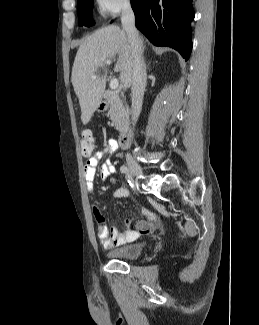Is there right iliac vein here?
I'll return each instance as SVG.
<instances>
[{"label":"right iliac vein","mask_w":259,"mask_h":325,"mask_svg":"<svg viewBox=\"0 0 259 325\" xmlns=\"http://www.w3.org/2000/svg\"><path fill=\"white\" fill-rule=\"evenodd\" d=\"M126 161L130 172L137 178H143L142 169L137 164V162L132 157H127Z\"/></svg>","instance_id":"right-iliac-vein-1"}]
</instances>
